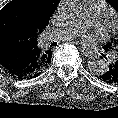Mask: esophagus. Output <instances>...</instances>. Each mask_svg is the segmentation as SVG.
Wrapping results in <instances>:
<instances>
[{"instance_id":"34e87169","label":"esophagus","mask_w":118,"mask_h":118,"mask_svg":"<svg viewBox=\"0 0 118 118\" xmlns=\"http://www.w3.org/2000/svg\"><path fill=\"white\" fill-rule=\"evenodd\" d=\"M80 50L86 57H89V58L93 57V53L89 51L88 49H86L85 47L80 46Z\"/></svg>"}]
</instances>
